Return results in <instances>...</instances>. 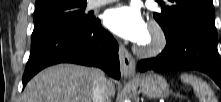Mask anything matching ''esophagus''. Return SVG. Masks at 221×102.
Here are the masks:
<instances>
[{"instance_id": "obj_1", "label": "esophagus", "mask_w": 221, "mask_h": 102, "mask_svg": "<svg viewBox=\"0 0 221 102\" xmlns=\"http://www.w3.org/2000/svg\"><path fill=\"white\" fill-rule=\"evenodd\" d=\"M119 59L122 75L126 78L135 77V59L122 44L119 45Z\"/></svg>"}]
</instances>
